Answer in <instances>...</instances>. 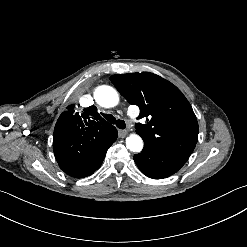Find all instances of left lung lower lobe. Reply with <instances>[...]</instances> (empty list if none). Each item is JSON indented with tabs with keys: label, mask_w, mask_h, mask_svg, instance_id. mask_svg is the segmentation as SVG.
Listing matches in <instances>:
<instances>
[{
	"label": "left lung lower lobe",
	"mask_w": 247,
	"mask_h": 247,
	"mask_svg": "<svg viewBox=\"0 0 247 247\" xmlns=\"http://www.w3.org/2000/svg\"><path fill=\"white\" fill-rule=\"evenodd\" d=\"M140 171L153 179H162L177 172L186 161L144 143L141 153L134 155Z\"/></svg>",
	"instance_id": "left-lung-lower-lobe-1"
}]
</instances>
